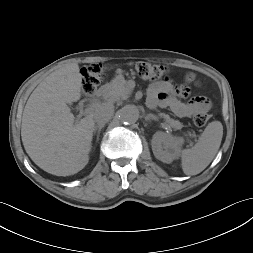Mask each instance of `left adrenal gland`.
I'll use <instances>...</instances> for the list:
<instances>
[{
    "instance_id": "1",
    "label": "left adrenal gland",
    "mask_w": 253,
    "mask_h": 253,
    "mask_svg": "<svg viewBox=\"0 0 253 253\" xmlns=\"http://www.w3.org/2000/svg\"><path fill=\"white\" fill-rule=\"evenodd\" d=\"M145 120L149 121V120H158L156 116H154L153 114H148L145 116Z\"/></svg>"
}]
</instances>
